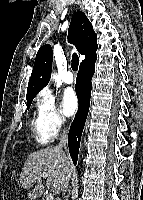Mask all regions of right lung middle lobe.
I'll use <instances>...</instances> for the list:
<instances>
[{"label":"right lung middle lobe","mask_w":143,"mask_h":200,"mask_svg":"<svg viewBox=\"0 0 143 200\" xmlns=\"http://www.w3.org/2000/svg\"><path fill=\"white\" fill-rule=\"evenodd\" d=\"M32 100H33V99H29V100H27V104H28V105H27V109H29V107H30V105H31V102H32Z\"/></svg>","instance_id":"1"}]
</instances>
